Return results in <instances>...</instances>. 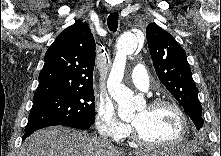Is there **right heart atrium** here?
<instances>
[{
	"mask_svg": "<svg viewBox=\"0 0 221 156\" xmlns=\"http://www.w3.org/2000/svg\"><path fill=\"white\" fill-rule=\"evenodd\" d=\"M95 126L100 135L114 141L126 138L131 132L130 125L118 117L112 101L104 97L96 104Z\"/></svg>",
	"mask_w": 221,
	"mask_h": 156,
	"instance_id": "right-heart-atrium-1",
	"label": "right heart atrium"
}]
</instances>
